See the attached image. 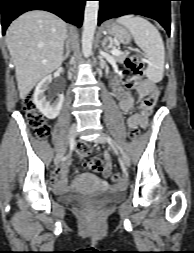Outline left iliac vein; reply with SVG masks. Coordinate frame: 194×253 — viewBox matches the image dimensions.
<instances>
[{"label":"left iliac vein","instance_id":"left-iliac-vein-1","mask_svg":"<svg viewBox=\"0 0 194 253\" xmlns=\"http://www.w3.org/2000/svg\"><path fill=\"white\" fill-rule=\"evenodd\" d=\"M107 136L104 133H100L99 136L95 139L96 143L104 144L107 142ZM121 160H122V165L124 167H129L130 166V158L125 152H121Z\"/></svg>","mask_w":194,"mask_h":253}]
</instances>
